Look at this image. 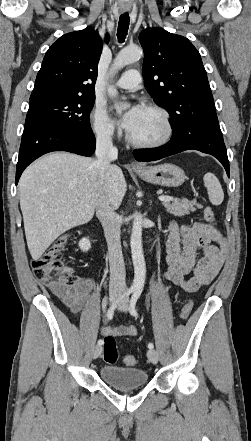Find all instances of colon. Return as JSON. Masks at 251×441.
Masks as SVG:
<instances>
[{
	"label": "colon",
	"instance_id": "colon-1",
	"mask_svg": "<svg viewBox=\"0 0 251 441\" xmlns=\"http://www.w3.org/2000/svg\"><path fill=\"white\" fill-rule=\"evenodd\" d=\"M204 218L209 223L215 222V214L212 208L206 207L204 210ZM69 237L62 235L58 237L45 251V253L32 261V270L34 276L42 283L48 284L57 291H66L80 281L71 268L65 266L62 262V253L67 246ZM193 309V302L188 301L181 310L180 317L187 319ZM104 361L113 365L118 360V351L116 341L113 336L104 338ZM125 364L135 366L137 360L134 356L125 357Z\"/></svg>",
	"mask_w": 251,
	"mask_h": 441
}]
</instances>
